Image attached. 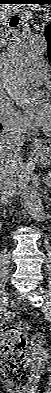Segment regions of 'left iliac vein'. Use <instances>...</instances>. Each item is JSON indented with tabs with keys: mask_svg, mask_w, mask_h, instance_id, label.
Instances as JSON below:
<instances>
[{
	"mask_svg": "<svg viewBox=\"0 0 51 393\" xmlns=\"http://www.w3.org/2000/svg\"><path fill=\"white\" fill-rule=\"evenodd\" d=\"M39 291L42 292V288H40ZM42 309L47 312L51 311V304L49 302H44Z\"/></svg>",
	"mask_w": 51,
	"mask_h": 393,
	"instance_id": "left-iliac-vein-1",
	"label": "left iliac vein"
}]
</instances>
